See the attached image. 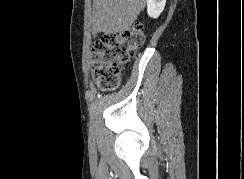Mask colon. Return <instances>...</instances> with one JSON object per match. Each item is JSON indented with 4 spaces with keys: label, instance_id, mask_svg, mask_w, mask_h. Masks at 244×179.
Returning a JSON list of instances; mask_svg holds the SVG:
<instances>
[{
    "label": "colon",
    "instance_id": "colon-1",
    "mask_svg": "<svg viewBox=\"0 0 244 179\" xmlns=\"http://www.w3.org/2000/svg\"><path fill=\"white\" fill-rule=\"evenodd\" d=\"M145 40L141 24H135L122 34L98 37L93 45V77L101 89L115 90L122 77V66L130 63L132 55Z\"/></svg>",
    "mask_w": 244,
    "mask_h": 179
}]
</instances>
